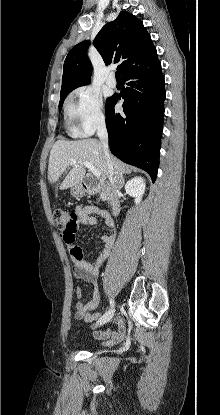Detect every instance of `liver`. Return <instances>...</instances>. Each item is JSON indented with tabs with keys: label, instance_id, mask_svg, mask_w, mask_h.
I'll use <instances>...</instances> for the list:
<instances>
[{
	"label": "liver",
	"instance_id": "liver-1",
	"mask_svg": "<svg viewBox=\"0 0 220 415\" xmlns=\"http://www.w3.org/2000/svg\"><path fill=\"white\" fill-rule=\"evenodd\" d=\"M71 159L77 161L71 164ZM115 175L128 171L127 166L114 156H110ZM89 162L100 172V182L108 178V168L104 157L103 146L96 139H82L77 141L58 140L52 146L49 165L48 180L51 184L56 183L68 166L72 169L63 180L60 189L80 185L85 178L86 168L83 162Z\"/></svg>",
	"mask_w": 220,
	"mask_h": 415
}]
</instances>
